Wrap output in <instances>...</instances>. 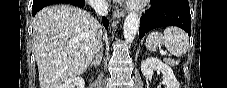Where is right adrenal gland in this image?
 I'll use <instances>...</instances> for the list:
<instances>
[{"label":"right adrenal gland","mask_w":227,"mask_h":88,"mask_svg":"<svg viewBox=\"0 0 227 88\" xmlns=\"http://www.w3.org/2000/svg\"><path fill=\"white\" fill-rule=\"evenodd\" d=\"M101 61H102V53H100L99 55H97L95 57V59L93 60V62L91 63V67L94 66V67H97L98 65L101 64Z\"/></svg>","instance_id":"2a0ac1e0"}]
</instances>
